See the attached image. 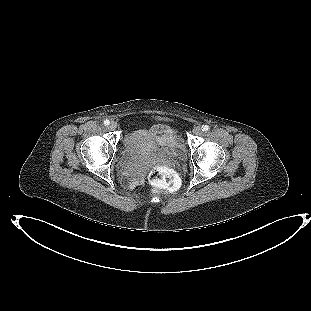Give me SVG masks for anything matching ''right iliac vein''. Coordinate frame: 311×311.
<instances>
[{
    "instance_id": "1",
    "label": "right iliac vein",
    "mask_w": 311,
    "mask_h": 311,
    "mask_svg": "<svg viewBox=\"0 0 311 311\" xmlns=\"http://www.w3.org/2000/svg\"><path fill=\"white\" fill-rule=\"evenodd\" d=\"M109 128H110L111 130H115V129L117 128V123L112 122V123L109 125Z\"/></svg>"
}]
</instances>
